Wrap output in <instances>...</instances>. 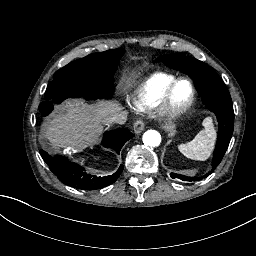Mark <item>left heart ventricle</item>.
Wrapping results in <instances>:
<instances>
[{"label":"left heart ventricle","instance_id":"obj_1","mask_svg":"<svg viewBox=\"0 0 256 256\" xmlns=\"http://www.w3.org/2000/svg\"><path fill=\"white\" fill-rule=\"evenodd\" d=\"M190 87L187 83H181L175 92L173 102L175 106L180 107L184 104H186L190 99ZM143 103V109L144 111H150L152 108V105L149 101H142Z\"/></svg>","mask_w":256,"mask_h":256}]
</instances>
